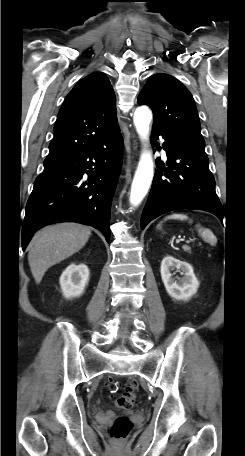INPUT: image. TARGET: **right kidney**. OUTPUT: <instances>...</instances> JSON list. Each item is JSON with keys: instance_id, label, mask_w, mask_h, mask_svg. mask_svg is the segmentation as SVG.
<instances>
[{"instance_id": "right-kidney-1", "label": "right kidney", "mask_w": 245, "mask_h": 456, "mask_svg": "<svg viewBox=\"0 0 245 456\" xmlns=\"http://www.w3.org/2000/svg\"><path fill=\"white\" fill-rule=\"evenodd\" d=\"M89 280V269L85 264L72 263L60 277V285L65 298L79 297L83 294Z\"/></svg>"}]
</instances>
